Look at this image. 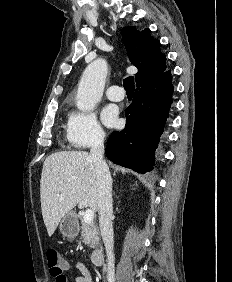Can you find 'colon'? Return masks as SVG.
<instances>
[{"mask_svg": "<svg viewBox=\"0 0 232 282\" xmlns=\"http://www.w3.org/2000/svg\"><path fill=\"white\" fill-rule=\"evenodd\" d=\"M47 265L50 274L54 278H61L64 276V260L57 250L49 248L46 251Z\"/></svg>", "mask_w": 232, "mask_h": 282, "instance_id": "obj_1", "label": "colon"}]
</instances>
